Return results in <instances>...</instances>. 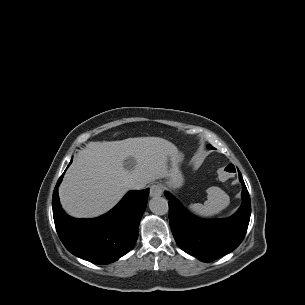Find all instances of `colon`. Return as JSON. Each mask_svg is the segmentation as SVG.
Listing matches in <instances>:
<instances>
[{
	"instance_id": "1",
	"label": "colon",
	"mask_w": 305,
	"mask_h": 305,
	"mask_svg": "<svg viewBox=\"0 0 305 305\" xmlns=\"http://www.w3.org/2000/svg\"><path fill=\"white\" fill-rule=\"evenodd\" d=\"M233 172L234 171L230 169V166L222 167L217 172L218 179L221 182H226L232 178Z\"/></svg>"
}]
</instances>
